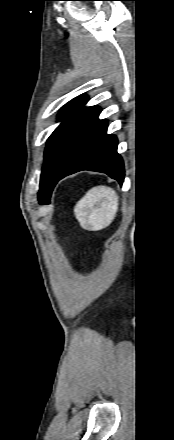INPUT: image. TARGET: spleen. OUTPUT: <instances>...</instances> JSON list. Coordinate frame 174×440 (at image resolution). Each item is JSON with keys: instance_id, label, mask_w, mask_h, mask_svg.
<instances>
[{"instance_id": "3e777b00", "label": "spleen", "mask_w": 174, "mask_h": 440, "mask_svg": "<svg viewBox=\"0 0 174 440\" xmlns=\"http://www.w3.org/2000/svg\"><path fill=\"white\" fill-rule=\"evenodd\" d=\"M118 206L119 197L115 190L99 185L91 188L77 203L75 216L84 229L98 231L111 224Z\"/></svg>"}]
</instances>
